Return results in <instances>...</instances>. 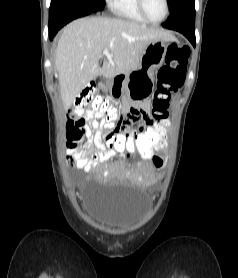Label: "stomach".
I'll use <instances>...</instances> for the list:
<instances>
[{"label":"stomach","instance_id":"0dacf381","mask_svg":"<svg viewBox=\"0 0 238 278\" xmlns=\"http://www.w3.org/2000/svg\"><path fill=\"white\" fill-rule=\"evenodd\" d=\"M168 45L156 40L146 47L139 66L129 74H116L106 85L113 99L149 98L154 92V71L165 61Z\"/></svg>","mask_w":238,"mask_h":278}]
</instances>
